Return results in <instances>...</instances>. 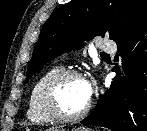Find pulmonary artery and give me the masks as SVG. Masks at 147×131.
Segmentation results:
<instances>
[{"mask_svg": "<svg viewBox=\"0 0 147 131\" xmlns=\"http://www.w3.org/2000/svg\"><path fill=\"white\" fill-rule=\"evenodd\" d=\"M99 49L103 52H114L116 51V45L111 42H102L99 45Z\"/></svg>", "mask_w": 147, "mask_h": 131, "instance_id": "pulmonary-artery-1", "label": "pulmonary artery"}]
</instances>
